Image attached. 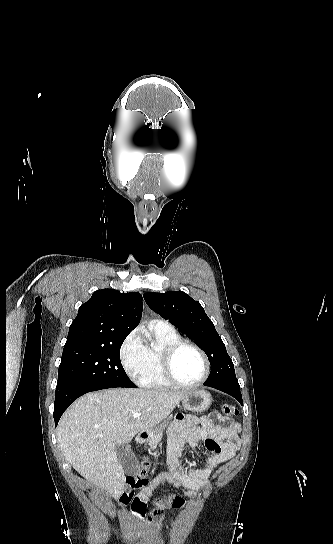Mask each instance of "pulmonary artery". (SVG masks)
Returning a JSON list of instances; mask_svg holds the SVG:
<instances>
[{"instance_id":"pulmonary-artery-1","label":"pulmonary artery","mask_w":333,"mask_h":544,"mask_svg":"<svg viewBox=\"0 0 333 544\" xmlns=\"http://www.w3.org/2000/svg\"><path fill=\"white\" fill-rule=\"evenodd\" d=\"M151 324L153 326H156L158 328H163V329H170L172 328L167 322H164V321H161V320H153L151 322Z\"/></svg>"}]
</instances>
